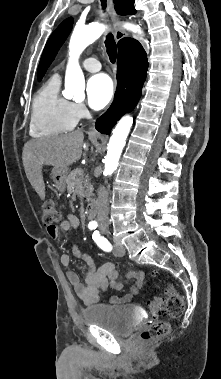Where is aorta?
Instances as JSON below:
<instances>
[{"mask_svg":"<svg viewBox=\"0 0 221 379\" xmlns=\"http://www.w3.org/2000/svg\"><path fill=\"white\" fill-rule=\"evenodd\" d=\"M124 27L134 32L142 33L139 26L126 23ZM105 26L99 23H92L86 26H76L69 42V61L65 74L66 98L75 100L84 99L85 80L83 72L79 66L80 54L87 46L97 40L105 31ZM133 124L130 115L123 116L112 132V136L107 146V155L104 163V173L111 175L117 168L122 150L125 146L127 136Z\"/></svg>","mask_w":221,"mask_h":379,"instance_id":"obj_1","label":"aorta"}]
</instances>
